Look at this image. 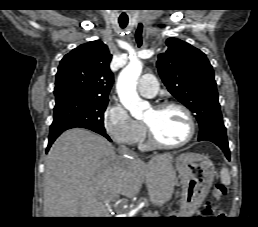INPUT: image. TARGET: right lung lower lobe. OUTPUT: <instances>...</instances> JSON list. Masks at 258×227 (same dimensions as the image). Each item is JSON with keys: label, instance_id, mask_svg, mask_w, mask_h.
<instances>
[{"label": "right lung lower lobe", "instance_id": "right-lung-lower-lobe-1", "mask_svg": "<svg viewBox=\"0 0 258 227\" xmlns=\"http://www.w3.org/2000/svg\"><path fill=\"white\" fill-rule=\"evenodd\" d=\"M77 126L70 124V123H65V122H53L51 127H50V135H49V142H48V146L46 149V152H48V150L50 149L52 143L55 141V139L65 130L71 129V128H75ZM101 135H103L104 137H106L108 140L111 141V139L109 138V136L105 133H99Z\"/></svg>", "mask_w": 258, "mask_h": 227}]
</instances>
